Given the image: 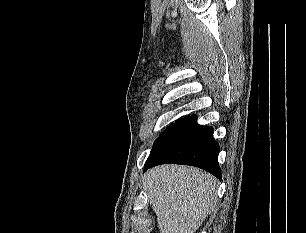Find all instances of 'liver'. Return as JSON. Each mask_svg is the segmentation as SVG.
<instances>
[{
    "label": "liver",
    "mask_w": 306,
    "mask_h": 233,
    "mask_svg": "<svg viewBox=\"0 0 306 233\" xmlns=\"http://www.w3.org/2000/svg\"><path fill=\"white\" fill-rule=\"evenodd\" d=\"M216 181L193 167L161 165L149 170L143 186L160 233H195L216 206Z\"/></svg>",
    "instance_id": "1"
}]
</instances>
